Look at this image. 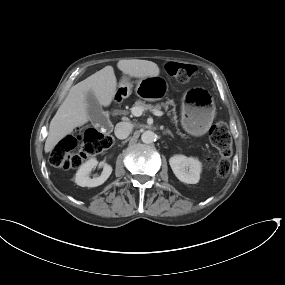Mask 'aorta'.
I'll return each instance as SVG.
<instances>
[{"label": "aorta", "mask_w": 285, "mask_h": 285, "mask_svg": "<svg viewBox=\"0 0 285 285\" xmlns=\"http://www.w3.org/2000/svg\"><path fill=\"white\" fill-rule=\"evenodd\" d=\"M141 140L145 144L153 143L156 140V134L153 131H144L141 135Z\"/></svg>", "instance_id": "1"}]
</instances>
